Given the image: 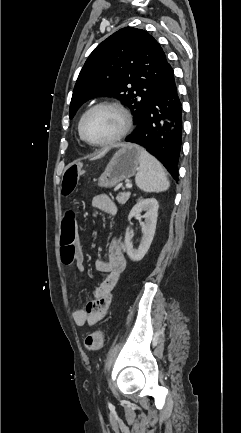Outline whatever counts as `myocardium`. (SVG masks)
<instances>
[{"mask_svg":"<svg viewBox=\"0 0 241 433\" xmlns=\"http://www.w3.org/2000/svg\"><path fill=\"white\" fill-rule=\"evenodd\" d=\"M100 108H110V109H113L116 112H118L122 118V127H121L120 131L115 136H113V137H111L105 141L91 142L84 136L83 125H84V122H85L86 118L88 117V115L90 113H92L93 111L100 109ZM131 125H132L131 116H130L128 110L122 104L115 102V101H101V102H98V103L92 105L90 108H88L83 113V115L81 116L80 121H79L78 132H79L80 138L86 144H88L90 146H94V147H105V146L114 145V144L118 143L119 141H121L123 138H125L131 129Z\"/></svg>","mask_w":241,"mask_h":433,"instance_id":"obj_1","label":"myocardium"}]
</instances>
